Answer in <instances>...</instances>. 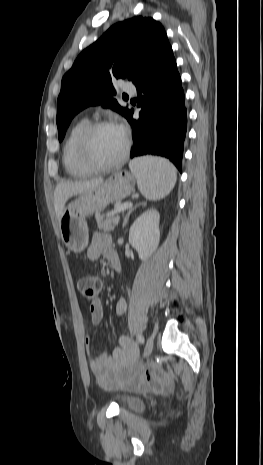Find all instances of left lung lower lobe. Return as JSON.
Wrapping results in <instances>:
<instances>
[{
  "instance_id": "obj_1",
  "label": "left lung lower lobe",
  "mask_w": 263,
  "mask_h": 465,
  "mask_svg": "<svg viewBox=\"0 0 263 465\" xmlns=\"http://www.w3.org/2000/svg\"><path fill=\"white\" fill-rule=\"evenodd\" d=\"M138 92L139 119L126 114L133 129L131 158L144 154L168 158L181 171L187 110L180 75L170 44L164 45L133 81Z\"/></svg>"
}]
</instances>
